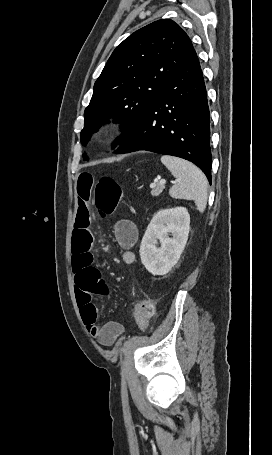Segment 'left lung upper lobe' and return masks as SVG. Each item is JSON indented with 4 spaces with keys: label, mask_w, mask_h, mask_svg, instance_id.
I'll list each match as a JSON object with an SVG mask.
<instances>
[{
    "label": "left lung upper lobe",
    "mask_w": 272,
    "mask_h": 455,
    "mask_svg": "<svg viewBox=\"0 0 272 455\" xmlns=\"http://www.w3.org/2000/svg\"><path fill=\"white\" fill-rule=\"evenodd\" d=\"M196 57L190 38L172 20H157L131 34L113 51L94 84L81 143L86 145L105 120L115 118L124 132L114 143L120 144L168 81Z\"/></svg>",
    "instance_id": "left-lung-upper-lobe-1"
}]
</instances>
